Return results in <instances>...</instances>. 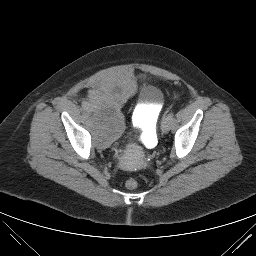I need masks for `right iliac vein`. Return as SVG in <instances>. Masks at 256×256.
<instances>
[{"instance_id":"1","label":"right iliac vein","mask_w":256,"mask_h":256,"mask_svg":"<svg viewBox=\"0 0 256 256\" xmlns=\"http://www.w3.org/2000/svg\"><path fill=\"white\" fill-rule=\"evenodd\" d=\"M85 113H86L87 116H90L91 113H92V110H91L90 108H87V109L85 110Z\"/></svg>"}]
</instances>
